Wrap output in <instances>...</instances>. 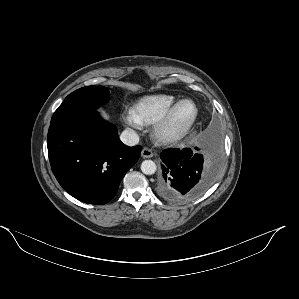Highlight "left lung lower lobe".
<instances>
[{"mask_svg": "<svg viewBox=\"0 0 299 299\" xmlns=\"http://www.w3.org/2000/svg\"><path fill=\"white\" fill-rule=\"evenodd\" d=\"M162 172L157 191L164 199L185 203L201 195L213 183L221 165V150L217 143L206 150L171 148L163 151Z\"/></svg>", "mask_w": 299, "mask_h": 299, "instance_id": "left-lung-lower-lobe-1", "label": "left lung lower lobe"}]
</instances>
